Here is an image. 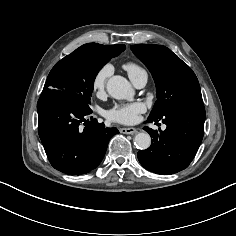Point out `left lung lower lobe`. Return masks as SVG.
Instances as JSON below:
<instances>
[{"mask_svg":"<svg viewBox=\"0 0 236 236\" xmlns=\"http://www.w3.org/2000/svg\"><path fill=\"white\" fill-rule=\"evenodd\" d=\"M205 108L202 100L189 99L167 110L162 122L167 128L159 133L144 127L151 146L139 151L141 165L157 174H174L189 166L203 138ZM158 122L148 117L147 122Z\"/></svg>","mask_w":236,"mask_h":236,"instance_id":"1","label":"left lung lower lobe"}]
</instances>
